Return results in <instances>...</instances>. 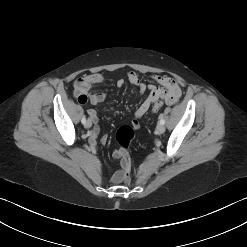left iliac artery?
<instances>
[{
    "label": "left iliac artery",
    "mask_w": 247,
    "mask_h": 247,
    "mask_svg": "<svg viewBox=\"0 0 247 247\" xmlns=\"http://www.w3.org/2000/svg\"><path fill=\"white\" fill-rule=\"evenodd\" d=\"M159 118H160V123L165 124V120H164L163 116H160Z\"/></svg>",
    "instance_id": "left-iliac-artery-1"
}]
</instances>
